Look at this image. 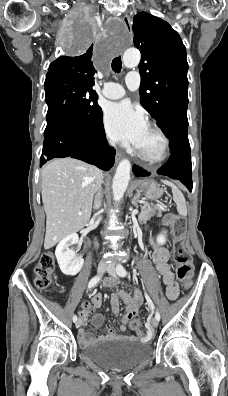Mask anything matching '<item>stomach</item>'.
I'll return each instance as SVG.
<instances>
[{
  "label": "stomach",
  "instance_id": "obj_1",
  "mask_svg": "<svg viewBox=\"0 0 228 396\" xmlns=\"http://www.w3.org/2000/svg\"><path fill=\"white\" fill-rule=\"evenodd\" d=\"M146 200L155 201L163 195V190L155 182H146L141 185Z\"/></svg>",
  "mask_w": 228,
  "mask_h": 396
}]
</instances>
